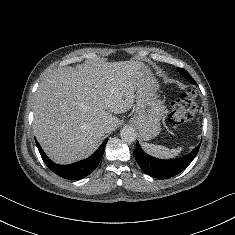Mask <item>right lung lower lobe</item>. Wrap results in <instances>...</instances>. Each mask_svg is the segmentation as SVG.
Here are the masks:
<instances>
[{
	"instance_id": "right-lung-lower-lobe-1",
	"label": "right lung lower lobe",
	"mask_w": 235,
	"mask_h": 235,
	"mask_svg": "<svg viewBox=\"0 0 235 235\" xmlns=\"http://www.w3.org/2000/svg\"><path fill=\"white\" fill-rule=\"evenodd\" d=\"M106 139L103 144L87 159L70 164V165H59L52 162L44 153L39 143L36 141V145L40 152V155L48 166L50 170H52L55 174L69 180H79L87 175L91 174L97 165L100 162L105 150V146L107 143Z\"/></svg>"
}]
</instances>
